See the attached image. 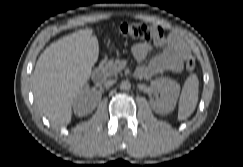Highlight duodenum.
Wrapping results in <instances>:
<instances>
[{"instance_id":"duodenum-1","label":"duodenum","mask_w":243,"mask_h":167,"mask_svg":"<svg viewBox=\"0 0 243 167\" xmlns=\"http://www.w3.org/2000/svg\"><path fill=\"white\" fill-rule=\"evenodd\" d=\"M92 80L96 83H102L104 80V73H103V69L101 67H96L94 68V70L92 71Z\"/></svg>"}]
</instances>
